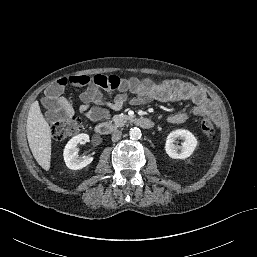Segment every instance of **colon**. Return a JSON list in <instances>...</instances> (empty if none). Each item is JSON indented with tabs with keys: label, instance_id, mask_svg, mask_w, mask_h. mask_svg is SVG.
Returning <instances> with one entry per match:
<instances>
[{
	"label": "colon",
	"instance_id": "colon-1",
	"mask_svg": "<svg viewBox=\"0 0 257 257\" xmlns=\"http://www.w3.org/2000/svg\"><path fill=\"white\" fill-rule=\"evenodd\" d=\"M68 82L82 86L89 82V78L87 76H71L69 78H61L50 86V92L53 95L60 94ZM83 127L82 121L72 114L69 103H66L60 108L59 118L53 124L51 134L55 140L61 141L79 133ZM201 130L207 137L214 138L215 128L209 117L206 116L202 118Z\"/></svg>",
	"mask_w": 257,
	"mask_h": 257
}]
</instances>
